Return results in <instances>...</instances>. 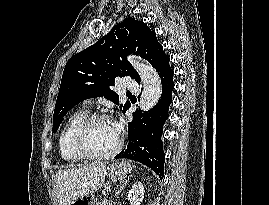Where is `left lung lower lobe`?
Returning a JSON list of instances; mask_svg holds the SVG:
<instances>
[{"instance_id":"0a47b994","label":"left lung lower lobe","mask_w":269,"mask_h":205,"mask_svg":"<svg viewBox=\"0 0 269 205\" xmlns=\"http://www.w3.org/2000/svg\"><path fill=\"white\" fill-rule=\"evenodd\" d=\"M169 61V56L165 55L156 66L162 82L161 98L151 110L133 113V120L128 124L127 148L115 156V159L127 158L141 162L151 168L161 179L164 176L165 161L161 136L163 124L169 116L168 109L174 89L173 70Z\"/></svg>"}]
</instances>
